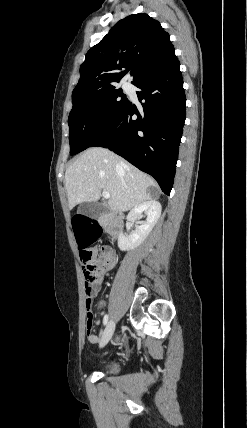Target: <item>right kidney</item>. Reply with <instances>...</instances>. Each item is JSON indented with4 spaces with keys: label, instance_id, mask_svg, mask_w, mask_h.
Segmentation results:
<instances>
[{
    "label": "right kidney",
    "instance_id": "obj_1",
    "mask_svg": "<svg viewBox=\"0 0 247 428\" xmlns=\"http://www.w3.org/2000/svg\"><path fill=\"white\" fill-rule=\"evenodd\" d=\"M161 204L155 200L145 201L134 207L128 214V221L142 218L143 213L147 215L146 221L139 222L135 230L127 236L121 233L118 239V247L121 251H129L137 248L149 235L161 215Z\"/></svg>",
    "mask_w": 247,
    "mask_h": 428
}]
</instances>
